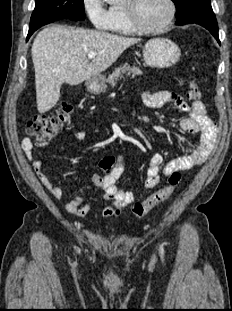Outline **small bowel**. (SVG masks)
<instances>
[{
  "instance_id": "obj_1",
  "label": "small bowel",
  "mask_w": 232,
  "mask_h": 311,
  "mask_svg": "<svg viewBox=\"0 0 232 311\" xmlns=\"http://www.w3.org/2000/svg\"><path fill=\"white\" fill-rule=\"evenodd\" d=\"M143 102L146 107L152 109L172 103L177 109L187 113V116L180 120L181 128L187 133L199 136L198 144L188 155L178 157L166 164H164L165 157L162 154L157 153L152 156L144 179V187L152 189L158 185L161 174L169 175L176 171H187L202 165L215 146L218 128L216 123L207 117L205 106L201 101L188 103L174 92L160 89L145 91ZM86 136L85 131H76L74 133V138L78 141L84 140ZM46 145H48V142L45 140H34L32 136H26L22 140L21 149L31 162L42 184L56 199H61L63 190L49 178L43 162L33 156L35 147H44ZM100 167L103 174L91 176L90 181L103 191V200L109 202L102 210V216L104 218L119 217L124 207L136 200L133 192L121 190L117 186V181L124 170V157L121 155L105 156L100 161ZM91 208V203L82 204V197L79 195L65 204V209L79 218L85 217Z\"/></svg>"
}]
</instances>
